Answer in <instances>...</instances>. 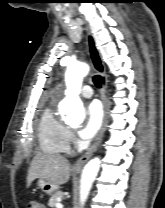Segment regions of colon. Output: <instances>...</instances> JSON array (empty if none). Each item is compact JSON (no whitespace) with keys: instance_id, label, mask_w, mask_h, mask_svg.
I'll return each instance as SVG.
<instances>
[{"instance_id":"colon-1","label":"colon","mask_w":165,"mask_h":208,"mask_svg":"<svg viewBox=\"0 0 165 208\" xmlns=\"http://www.w3.org/2000/svg\"><path fill=\"white\" fill-rule=\"evenodd\" d=\"M28 208H44V206L39 200L31 199L28 203Z\"/></svg>"}]
</instances>
